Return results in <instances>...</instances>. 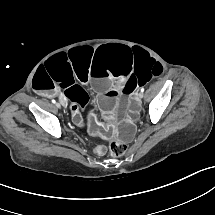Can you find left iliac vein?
<instances>
[{"label": "left iliac vein", "mask_w": 215, "mask_h": 215, "mask_svg": "<svg viewBox=\"0 0 215 215\" xmlns=\"http://www.w3.org/2000/svg\"><path fill=\"white\" fill-rule=\"evenodd\" d=\"M143 96H144V93H143V92H139V94H138V98H139V99H142V98H143Z\"/></svg>", "instance_id": "4c4485c4"}]
</instances>
